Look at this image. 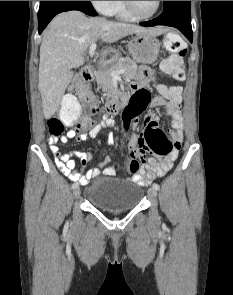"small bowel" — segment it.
<instances>
[{"instance_id": "c3829d8e", "label": "small bowel", "mask_w": 233, "mask_h": 295, "mask_svg": "<svg viewBox=\"0 0 233 295\" xmlns=\"http://www.w3.org/2000/svg\"><path fill=\"white\" fill-rule=\"evenodd\" d=\"M152 80V73L148 68L142 67L138 72L137 83L135 88L137 92L132 96L129 106L127 107L126 114L132 124L139 121L141 112L148 106L153 107L163 106L166 109V115L170 117L171 130L169 136L173 142L172 151L162 158L150 157L147 162L138 170L133 176V181L139 185L146 186L150 184L155 178L164 176L173 166L174 161L177 159L181 143L183 139V119L181 113V94L176 97H169L159 93L155 97H151L150 92L144 87ZM92 101L95 99L92 96ZM144 125L158 127V117L156 114L150 113L146 116ZM114 120L105 114L102 120L95 125H87L80 122L76 127L69 129L66 134L58 137H51L49 139V149L54 155L57 167L73 181H78L81 184H86L89 179L97 178L100 174L111 176L115 171L111 167H105L102 171L97 168H92L87 171L85 176L76 169L75 158L80 159L83 166L91 160V154L87 152H68L65 154L60 153L57 146L58 141L67 143L70 139L87 140L88 138L96 139L98 134L103 128L113 127ZM107 144L112 146L114 139L112 136L108 137Z\"/></svg>"}]
</instances>
